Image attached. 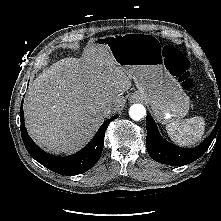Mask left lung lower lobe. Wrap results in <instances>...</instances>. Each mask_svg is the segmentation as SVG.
Segmentation results:
<instances>
[{"label": "left lung lower lobe", "mask_w": 221, "mask_h": 221, "mask_svg": "<svg viewBox=\"0 0 221 221\" xmlns=\"http://www.w3.org/2000/svg\"><path fill=\"white\" fill-rule=\"evenodd\" d=\"M147 125V140L146 147L149 155L157 162L167 164V165H186L205 153V151L210 146L212 140L216 136L221 134V116L219 114L218 122L211 132V134L205 139L203 143L195 148H181L175 146L165 140L160 136L157 126L151 117L147 115L146 118Z\"/></svg>", "instance_id": "0a47b994"}]
</instances>
